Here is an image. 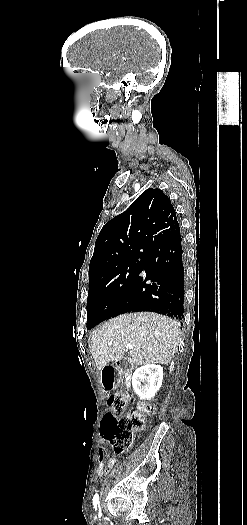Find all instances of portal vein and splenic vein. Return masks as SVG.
<instances>
[{"instance_id":"18ae733b","label":"portal vein and splenic vein","mask_w":247,"mask_h":525,"mask_svg":"<svg viewBox=\"0 0 247 525\" xmlns=\"http://www.w3.org/2000/svg\"><path fill=\"white\" fill-rule=\"evenodd\" d=\"M108 345H112V343H108ZM127 349H134L133 345H129V347H127Z\"/></svg>"}]
</instances>
